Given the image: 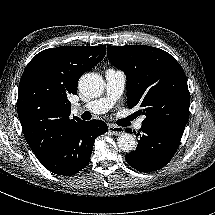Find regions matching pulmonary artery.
Wrapping results in <instances>:
<instances>
[{
  "label": "pulmonary artery",
  "mask_w": 215,
  "mask_h": 215,
  "mask_svg": "<svg viewBox=\"0 0 215 215\" xmlns=\"http://www.w3.org/2000/svg\"><path fill=\"white\" fill-rule=\"evenodd\" d=\"M106 78V93L105 96L91 101L85 105H77L74 107V112L89 111L92 114H103L113 107L116 101L122 95L125 83L126 75L121 70L107 69L105 71ZM145 116L141 117L135 124L137 129L142 128V123Z\"/></svg>",
  "instance_id": "e3ab8cb5"
}]
</instances>
